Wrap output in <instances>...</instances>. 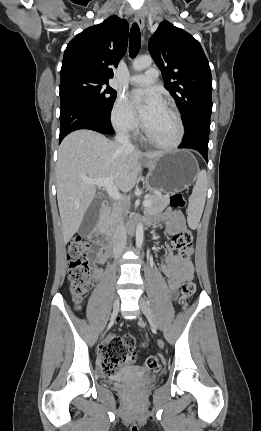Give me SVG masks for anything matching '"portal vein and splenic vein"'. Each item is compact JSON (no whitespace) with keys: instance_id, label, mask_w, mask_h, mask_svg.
I'll use <instances>...</instances> for the list:
<instances>
[{"instance_id":"1","label":"portal vein and splenic vein","mask_w":261,"mask_h":431,"mask_svg":"<svg viewBox=\"0 0 261 431\" xmlns=\"http://www.w3.org/2000/svg\"><path fill=\"white\" fill-rule=\"evenodd\" d=\"M88 184L96 185L97 187H105L110 197H112L114 200H121L122 197L120 193L118 192L117 188L113 184V178H103V179H85L84 180ZM151 200L145 199L143 201V206L148 207L151 205Z\"/></svg>"}]
</instances>
